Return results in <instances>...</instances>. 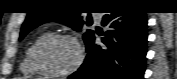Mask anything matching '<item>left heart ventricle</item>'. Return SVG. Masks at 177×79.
I'll list each match as a JSON object with an SVG mask.
<instances>
[{
    "label": "left heart ventricle",
    "instance_id": "obj_1",
    "mask_svg": "<svg viewBox=\"0 0 177 79\" xmlns=\"http://www.w3.org/2000/svg\"><path fill=\"white\" fill-rule=\"evenodd\" d=\"M78 52L74 43L56 39L46 43L39 52L40 62L52 71L70 68L77 60Z\"/></svg>",
    "mask_w": 177,
    "mask_h": 79
}]
</instances>
